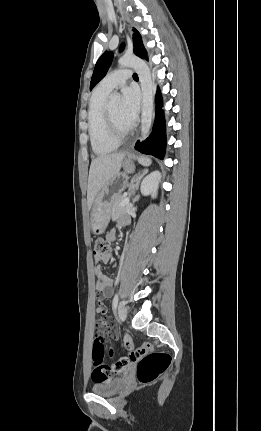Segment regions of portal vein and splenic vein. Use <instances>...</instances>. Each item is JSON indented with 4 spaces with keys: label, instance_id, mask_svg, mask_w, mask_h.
I'll return each instance as SVG.
<instances>
[{
    "label": "portal vein and splenic vein",
    "instance_id": "1",
    "mask_svg": "<svg viewBox=\"0 0 261 431\" xmlns=\"http://www.w3.org/2000/svg\"><path fill=\"white\" fill-rule=\"evenodd\" d=\"M129 203V198L128 197H125L123 200H122V202L120 203V206H125V205H127Z\"/></svg>",
    "mask_w": 261,
    "mask_h": 431
}]
</instances>
